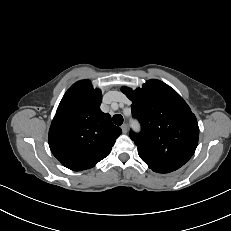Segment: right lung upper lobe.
<instances>
[{
	"label": "right lung upper lobe",
	"instance_id": "1",
	"mask_svg": "<svg viewBox=\"0 0 231 231\" xmlns=\"http://www.w3.org/2000/svg\"><path fill=\"white\" fill-rule=\"evenodd\" d=\"M102 94L89 80L72 85L62 98L49 129L53 155L67 168L81 171L107 157L122 133L100 109Z\"/></svg>",
	"mask_w": 231,
	"mask_h": 231
}]
</instances>
